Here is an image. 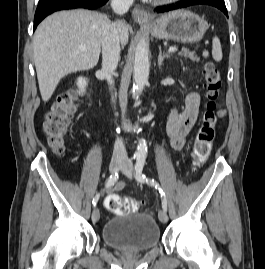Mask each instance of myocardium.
Listing matches in <instances>:
<instances>
[{"label": "myocardium", "instance_id": "1", "mask_svg": "<svg viewBox=\"0 0 265 269\" xmlns=\"http://www.w3.org/2000/svg\"><path fill=\"white\" fill-rule=\"evenodd\" d=\"M152 1L158 4H166V3H171L178 0H152Z\"/></svg>", "mask_w": 265, "mask_h": 269}]
</instances>
